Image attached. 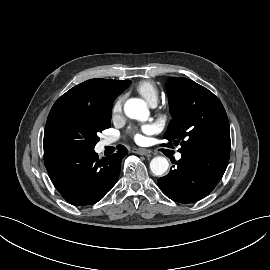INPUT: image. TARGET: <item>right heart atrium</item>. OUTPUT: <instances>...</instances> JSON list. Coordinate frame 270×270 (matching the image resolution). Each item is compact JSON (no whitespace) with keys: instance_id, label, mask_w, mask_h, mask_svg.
Masks as SVG:
<instances>
[{"instance_id":"obj_1","label":"right heart atrium","mask_w":270,"mask_h":270,"mask_svg":"<svg viewBox=\"0 0 270 270\" xmlns=\"http://www.w3.org/2000/svg\"><path fill=\"white\" fill-rule=\"evenodd\" d=\"M123 102H124V96H119L115 100V102L113 103V106H112V117L113 118H117L121 115Z\"/></svg>"}]
</instances>
